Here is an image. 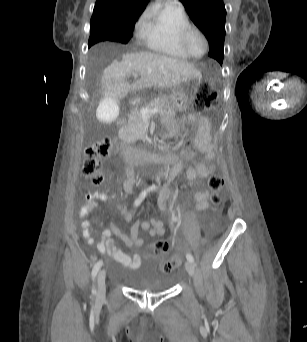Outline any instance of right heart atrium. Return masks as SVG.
Masks as SVG:
<instances>
[{
	"mask_svg": "<svg viewBox=\"0 0 307 342\" xmlns=\"http://www.w3.org/2000/svg\"><path fill=\"white\" fill-rule=\"evenodd\" d=\"M151 35L150 31L146 28V25L142 18L138 19L131 28L132 39H138L144 36Z\"/></svg>",
	"mask_w": 307,
	"mask_h": 342,
	"instance_id": "right-heart-atrium-1",
	"label": "right heart atrium"
}]
</instances>
